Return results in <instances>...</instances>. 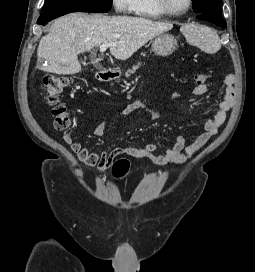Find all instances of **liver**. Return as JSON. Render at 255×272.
<instances>
[{"mask_svg": "<svg viewBox=\"0 0 255 272\" xmlns=\"http://www.w3.org/2000/svg\"><path fill=\"white\" fill-rule=\"evenodd\" d=\"M172 28V23L143 17L71 13L56 19L49 33L41 38L38 68L56 74H76L81 71L78 55L103 43L113 44L110 53L116 59L126 60L150 39Z\"/></svg>", "mask_w": 255, "mask_h": 272, "instance_id": "obj_1", "label": "liver"}]
</instances>
